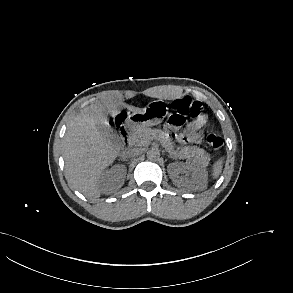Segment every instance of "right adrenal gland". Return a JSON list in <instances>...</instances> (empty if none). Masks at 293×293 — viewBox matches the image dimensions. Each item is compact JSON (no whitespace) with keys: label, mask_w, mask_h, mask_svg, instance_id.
I'll list each match as a JSON object with an SVG mask.
<instances>
[{"label":"right adrenal gland","mask_w":293,"mask_h":293,"mask_svg":"<svg viewBox=\"0 0 293 293\" xmlns=\"http://www.w3.org/2000/svg\"><path fill=\"white\" fill-rule=\"evenodd\" d=\"M121 160H123V161H127L126 159H121Z\"/></svg>","instance_id":"right-adrenal-gland-1"}]
</instances>
